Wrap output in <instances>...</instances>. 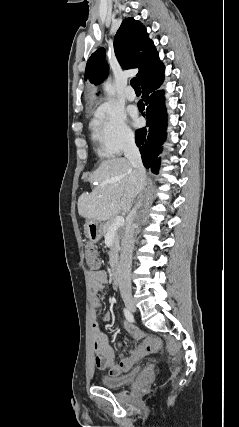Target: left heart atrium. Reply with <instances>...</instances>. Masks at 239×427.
Masks as SVG:
<instances>
[{
  "instance_id": "obj_1",
  "label": "left heart atrium",
  "mask_w": 239,
  "mask_h": 427,
  "mask_svg": "<svg viewBox=\"0 0 239 427\" xmlns=\"http://www.w3.org/2000/svg\"><path fill=\"white\" fill-rule=\"evenodd\" d=\"M132 119H133L134 125H138L139 124V118H138V115H137V113L135 111L132 113Z\"/></svg>"
}]
</instances>
